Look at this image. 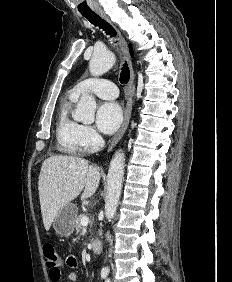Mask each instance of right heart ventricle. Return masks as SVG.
<instances>
[{"label":"right heart ventricle","instance_id":"right-heart-ventricle-1","mask_svg":"<svg viewBox=\"0 0 232 282\" xmlns=\"http://www.w3.org/2000/svg\"><path fill=\"white\" fill-rule=\"evenodd\" d=\"M77 98L69 94L60 103L56 122L57 150L64 154L74 155L80 152L79 131L81 125L72 118L71 110Z\"/></svg>","mask_w":232,"mask_h":282}]
</instances>
